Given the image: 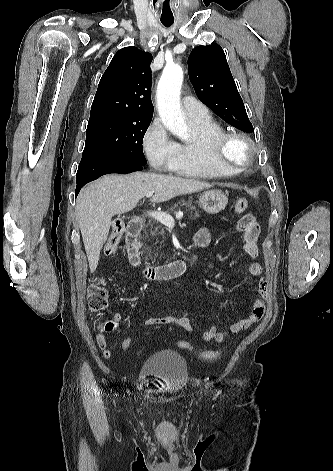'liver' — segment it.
I'll return each mask as SVG.
<instances>
[{"mask_svg":"<svg viewBox=\"0 0 333 471\" xmlns=\"http://www.w3.org/2000/svg\"><path fill=\"white\" fill-rule=\"evenodd\" d=\"M210 187L202 181L144 172L106 175L84 187L77 197L76 209L90 272L97 268L114 215L134 209L149 191L154 192L151 202L160 203Z\"/></svg>","mask_w":333,"mask_h":471,"instance_id":"liver-1","label":"liver"}]
</instances>
